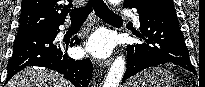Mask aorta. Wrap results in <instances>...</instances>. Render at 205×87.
Instances as JSON below:
<instances>
[{"label":"aorta","instance_id":"1","mask_svg":"<svg viewBox=\"0 0 205 87\" xmlns=\"http://www.w3.org/2000/svg\"><path fill=\"white\" fill-rule=\"evenodd\" d=\"M113 3H119L120 0H111ZM125 58L118 56L112 63L109 72L104 81L103 87H119L120 81L125 72Z\"/></svg>","mask_w":205,"mask_h":87}]
</instances>
